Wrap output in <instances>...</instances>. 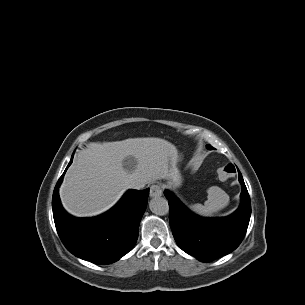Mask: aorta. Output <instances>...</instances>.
Returning <instances> with one entry per match:
<instances>
[{
    "label": "aorta",
    "instance_id": "obj_1",
    "mask_svg": "<svg viewBox=\"0 0 305 305\" xmlns=\"http://www.w3.org/2000/svg\"><path fill=\"white\" fill-rule=\"evenodd\" d=\"M150 210L156 215H166L169 211V205L166 199L162 197H155L149 202Z\"/></svg>",
    "mask_w": 305,
    "mask_h": 305
}]
</instances>
